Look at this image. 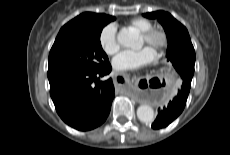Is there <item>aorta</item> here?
Listing matches in <instances>:
<instances>
[{
  "mask_svg": "<svg viewBox=\"0 0 230 155\" xmlns=\"http://www.w3.org/2000/svg\"><path fill=\"white\" fill-rule=\"evenodd\" d=\"M138 36L128 29H122L117 36L118 42L125 47H132ZM137 117L143 123L154 121V110L150 105L142 104L137 108Z\"/></svg>",
  "mask_w": 230,
  "mask_h": 155,
  "instance_id": "aorta-1",
  "label": "aorta"
}]
</instances>
